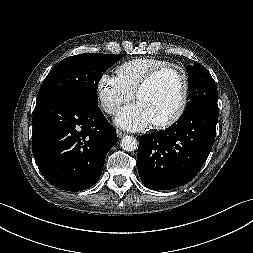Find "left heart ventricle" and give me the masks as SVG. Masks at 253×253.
Masks as SVG:
<instances>
[{
	"instance_id": "obj_1",
	"label": "left heart ventricle",
	"mask_w": 253,
	"mask_h": 253,
	"mask_svg": "<svg viewBox=\"0 0 253 253\" xmlns=\"http://www.w3.org/2000/svg\"><path fill=\"white\" fill-rule=\"evenodd\" d=\"M180 99L181 82L176 74L167 73L142 92L136 101L146 108L152 122H156L173 115L179 107Z\"/></svg>"
}]
</instances>
